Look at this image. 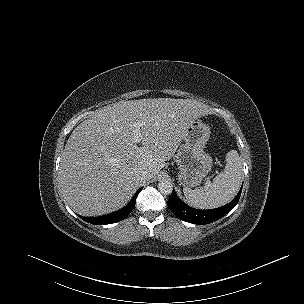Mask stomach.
<instances>
[{
  "instance_id": "0dacf381",
  "label": "stomach",
  "mask_w": 304,
  "mask_h": 304,
  "mask_svg": "<svg viewBox=\"0 0 304 304\" xmlns=\"http://www.w3.org/2000/svg\"><path fill=\"white\" fill-rule=\"evenodd\" d=\"M209 137L210 127L201 120H194L186 129L185 144L176 155L178 180L184 187H196L211 171L212 157L204 151Z\"/></svg>"
}]
</instances>
